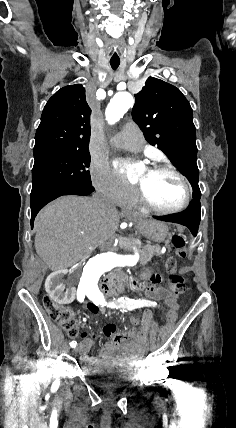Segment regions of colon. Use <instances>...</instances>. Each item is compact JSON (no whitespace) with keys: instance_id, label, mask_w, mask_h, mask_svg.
Instances as JSON below:
<instances>
[{"instance_id":"5ec220e1","label":"colon","mask_w":236,"mask_h":428,"mask_svg":"<svg viewBox=\"0 0 236 428\" xmlns=\"http://www.w3.org/2000/svg\"><path fill=\"white\" fill-rule=\"evenodd\" d=\"M172 249L179 256H185V241L180 235H175L171 240ZM166 271L168 273L167 285L169 290L175 296H179L185 292L186 284L183 277L177 274V262L174 257H169L165 263ZM43 305L49 317L62 326L69 337H76L78 335L76 318L74 312L63 305L57 304L51 297L45 296L43 298ZM87 309L91 312H97L98 307L93 304H87ZM165 318L168 322H173L176 319V306H169L165 311ZM138 323L136 318L130 319V324L136 326Z\"/></svg>"}]
</instances>
